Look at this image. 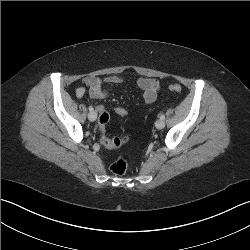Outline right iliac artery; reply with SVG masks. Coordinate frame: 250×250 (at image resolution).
Listing matches in <instances>:
<instances>
[{
	"label": "right iliac artery",
	"mask_w": 250,
	"mask_h": 250,
	"mask_svg": "<svg viewBox=\"0 0 250 250\" xmlns=\"http://www.w3.org/2000/svg\"><path fill=\"white\" fill-rule=\"evenodd\" d=\"M89 111H93V107L92 106H89Z\"/></svg>",
	"instance_id": "right-iliac-artery-1"
}]
</instances>
